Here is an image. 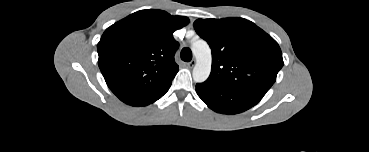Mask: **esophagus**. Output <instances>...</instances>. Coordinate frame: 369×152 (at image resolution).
Wrapping results in <instances>:
<instances>
[{"label": "esophagus", "instance_id": "obj_1", "mask_svg": "<svg viewBox=\"0 0 369 152\" xmlns=\"http://www.w3.org/2000/svg\"><path fill=\"white\" fill-rule=\"evenodd\" d=\"M195 64H196V61H195V60H192V61H190L189 63H187V67H188V68H192V67H194V66H195Z\"/></svg>", "mask_w": 369, "mask_h": 152}]
</instances>
